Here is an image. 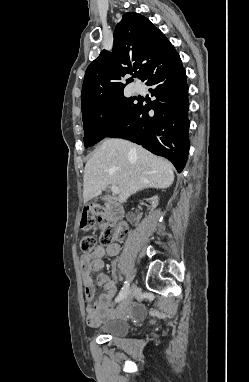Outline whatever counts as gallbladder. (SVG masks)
Listing matches in <instances>:
<instances>
[{"label": "gallbladder", "mask_w": 249, "mask_h": 382, "mask_svg": "<svg viewBox=\"0 0 249 382\" xmlns=\"http://www.w3.org/2000/svg\"><path fill=\"white\" fill-rule=\"evenodd\" d=\"M103 200H105V201H106V200H108V199H107V198H103Z\"/></svg>", "instance_id": "1"}]
</instances>
